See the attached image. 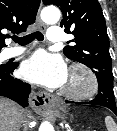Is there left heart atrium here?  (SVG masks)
<instances>
[{"instance_id": "left-heart-atrium-1", "label": "left heart atrium", "mask_w": 117, "mask_h": 131, "mask_svg": "<svg viewBox=\"0 0 117 131\" xmlns=\"http://www.w3.org/2000/svg\"><path fill=\"white\" fill-rule=\"evenodd\" d=\"M21 75L30 82L57 88L65 84L68 71L60 56L40 50L24 61Z\"/></svg>"}]
</instances>
